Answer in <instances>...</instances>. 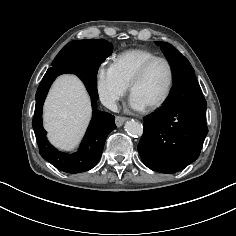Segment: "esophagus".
I'll return each mask as SVG.
<instances>
[{
	"label": "esophagus",
	"mask_w": 236,
	"mask_h": 236,
	"mask_svg": "<svg viewBox=\"0 0 236 236\" xmlns=\"http://www.w3.org/2000/svg\"><path fill=\"white\" fill-rule=\"evenodd\" d=\"M126 120H128L127 117L117 116L115 119L116 126L121 127Z\"/></svg>",
	"instance_id": "1"
}]
</instances>
